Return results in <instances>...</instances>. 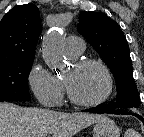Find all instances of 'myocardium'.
I'll use <instances>...</instances> for the list:
<instances>
[{
	"label": "myocardium",
	"instance_id": "f54148a6",
	"mask_svg": "<svg viewBox=\"0 0 144 137\" xmlns=\"http://www.w3.org/2000/svg\"><path fill=\"white\" fill-rule=\"evenodd\" d=\"M89 65H93V66L98 67L105 75L107 86H106L105 92L103 93V95L100 98L93 100V101L78 100L73 95V93L70 90V87H69L68 83L66 82V80H63L69 101L72 104L80 106V107H95V106L101 105L110 97V95L113 91V87H114V81H113L112 73H111L110 69L102 61L97 60V59H91V58L80 59V60L76 61L73 66L75 68H83V67L89 66Z\"/></svg>",
	"mask_w": 144,
	"mask_h": 137
}]
</instances>
